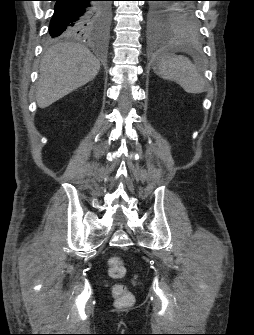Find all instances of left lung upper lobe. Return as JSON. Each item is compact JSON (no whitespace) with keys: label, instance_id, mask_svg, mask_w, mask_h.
Returning <instances> with one entry per match:
<instances>
[{"label":"left lung upper lobe","instance_id":"left-lung-upper-lobe-1","mask_svg":"<svg viewBox=\"0 0 254 335\" xmlns=\"http://www.w3.org/2000/svg\"><path fill=\"white\" fill-rule=\"evenodd\" d=\"M148 28L154 35L195 33L198 20L195 14L196 0H147Z\"/></svg>","mask_w":254,"mask_h":335}]
</instances>
